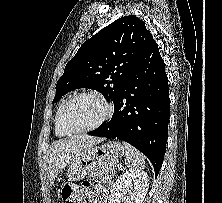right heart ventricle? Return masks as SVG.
<instances>
[{"label": "right heart ventricle", "instance_id": "1", "mask_svg": "<svg viewBox=\"0 0 222 203\" xmlns=\"http://www.w3.org/2000/svg\"><path fill=\"white\" fill-rule=\"evenodd\" d=\"M64 102H65V101H62V102L60 103V105L58 106V108H57V110H56V112H55V116H54V129H55V134H56L57 136H59V137H63V136H66V135L69 134L68 132L64 131V130L60 127L59 121H58L59 112H60V109H61V107H62V105H63Z\"/></svg>", "mask_w": 222, "mask_h": 203}]
</instances>
